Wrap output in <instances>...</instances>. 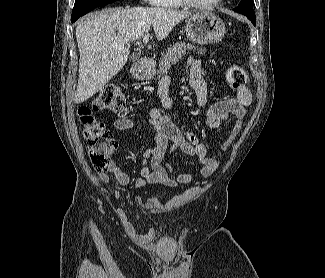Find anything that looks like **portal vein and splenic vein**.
Masks as SVG:
<instances>
[{
  "instance_id": "obj_1",
  "label": "portal vein and splenic vein",
  "mask_w": 325,
  "mask_h": 278,
  "mask_svg": "<svg viewBox=\"0 0 325 278\" xmlns=\"http://www.w3.org/2000/svg\"><path fill=\"white\" fill-rule=\"evenodd\" d=\"M148 41H149V35H148V33H145V34L143 35V42H144V43H148ZM121 47H124V46H121Z\"/></svg>"
}]
</instances>
